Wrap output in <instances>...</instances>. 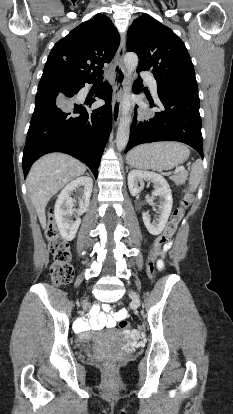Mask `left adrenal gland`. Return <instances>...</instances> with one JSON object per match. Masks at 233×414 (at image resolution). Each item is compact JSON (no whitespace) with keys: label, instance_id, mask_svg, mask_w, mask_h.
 <instances>
[{"label":"left adrenal gland","instance_id":"obj_1","mask_svg":"<svg viewBox=\"0 0 233 414\" xmlns=\"http://www.w3.org/2000/svg\"><path fill=\"white\" fill-rule=\"evenodd\" d=\"M129 167H126V171H128Z\"/></svg>","mask_w":233,"mask_h":414}]
</instances>
